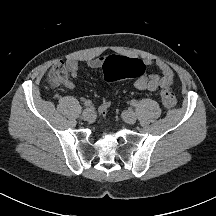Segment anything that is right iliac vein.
I'll return each instance as SVG.
<instances>
[{"label": "right iliac vein", "mask_w": 216, "mask_h": 216, "mask_svg": "<svg viewBox=\"0 0 216 216\" xmlns=\"http://www.w3.org/2000/svg\"><path fill=\"white\" fill-rule=\"evenodd\" d=\"M82 118L86 121H93L95 119V112L91 109H85L82 113Z\"/></svg>", "instance_id": "right-iliac-vein-1"}]
</instances>
